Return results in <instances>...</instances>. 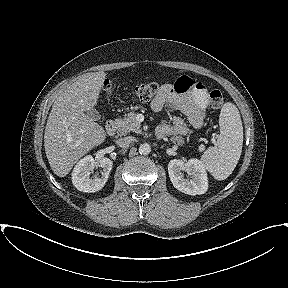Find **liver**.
<instances>
[{
	"instance_id": "obj_1",
	"label": "liver",
	"mask_w": 288,
	"mask_h": 288,
	"mask_svg": "<svg viewBox=\"0 0 288 288\" xmlns=\"http://www.w3.org/2000/svg\"><path fill=\"white\" fill-rule=\"evenodd\" d=\"M105 72L83 74L54 102L45 134V153L53 172L66 176L75 163L106 138L102 126L85 112L97 104Z\"/></svg>"
}]
</instances>
